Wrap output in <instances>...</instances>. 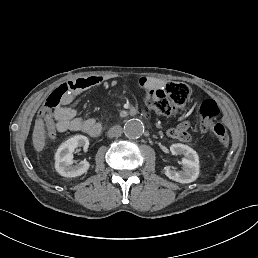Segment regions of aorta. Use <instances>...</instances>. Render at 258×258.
Instances as JSON below:
<instances>
[{
  "mask_svg": "<svg viewBox=\"0 0 258 258\" xmlns=\"http://www.w3.org/2000/svg\"><path fill=\"white\" fill-rule=\"evenodd\" d=\"M144 133V124L141 120L133 118L124 125V134L130 139H137Z\"/></svg>",
  "mask_w": 258,
  "mask_h": 258,
  "instance_id": "762f6f07",
  "label": "aorta"
}]
</instances>
